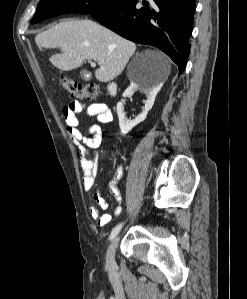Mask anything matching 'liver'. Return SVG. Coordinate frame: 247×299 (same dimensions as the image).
<instances>
[{
    "label": "liver",
    "instance_id": "obj_1",
    "mask_svg": "<svg viewBox=\"0 0 247 299\" xmlns=\"http://www.w3.org/2000/svg\"><path fill=\"white\" fill-rule=\"evenodd\" d=\"M35 42L40 49H60L61 53L52 55L49 60L62 71L79 68L87 59L96 61L100 68L95 71V77L100 82H109L120 75L136 50L135 43L89 19L61 22L38 33ZM153 54L166 80L170 74L168 59L161 52Z\"/></svg>",
    "mask_w": 247,
    "mask_h": 299
}]
</instances>
